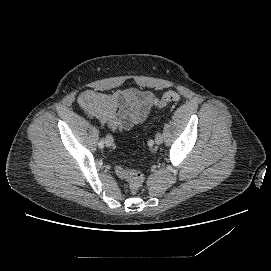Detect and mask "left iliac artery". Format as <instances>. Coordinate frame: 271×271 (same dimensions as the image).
Returning a JSON list of instances; mask_svg holds the SVG:
<instances>
[{"instance_id": "1", "label": "left iliac artery", "mask_w": 271, "mask_h": 271, "mask_svg": "<svg viewBox=\"0 0 271 271\" xmlns=\"http://www.w3.org/2000/svg\"><path fill=\"white\" fill-rule=\"evenodd\" d=\"M148 145H149V146H153V145H154V141H153V140H149V141H148Z\"/></svg>"}]
</instances>
